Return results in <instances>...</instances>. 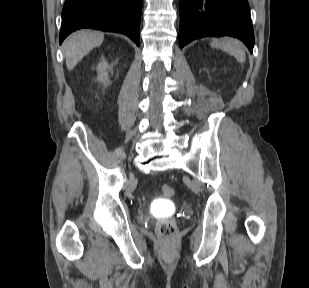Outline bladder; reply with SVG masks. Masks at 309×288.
I'll return each instance as SVG.
<instances>
[{
  "instance_id": "bladder-1",
  "label": "bladder",
  "mask_w": 309,
  "mask_h": 288,
  "mask_svg": "<svg viewBox=\"0 0 309 288\" xmlns=\"http://www.w3.org/2000/svg\"><path fill=\"white\" fill-rule=\"evenodd\" d=\"M158 206H160V209H161L162 211H165V210H167V209L169 208V203H167V202H161V203H158Z\"/></svg>"
}]
</instances>
